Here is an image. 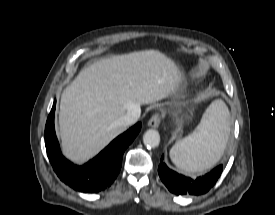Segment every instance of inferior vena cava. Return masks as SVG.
<instances>
[{
	"label": "inferior vena cava",
	"mask_w": 275,
	"mask_h": 215,
	"mask_svg": "<svg viewBox=\"0 0 275 215\" xmlns=\"http://www.w3.org/2000/svg\"><path fill=\"white\" fill-rule=\"evenodd\" d=\"M141 109L139 106H134L129 109L126 114L118 121L120 125L128 126L136 123L140 118Z\"/></svg>",
	"instance_id": "obj_1"
}]
</instances>
